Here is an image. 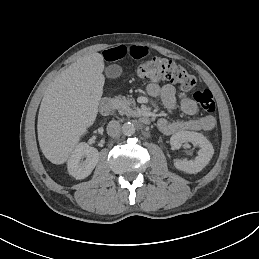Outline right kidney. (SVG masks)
<instances>
[{
  "label": "right kidney",
  "mask_w": 259,
  "mask_h": 259,
  "mask_svg": "<svg viewBox=\"0 0 259 259\" xmlns=\"http://www.w3.org/2000/svg\"><path fill=\"white\" fill-rule=\"evenodd\" d=\"M85 159L84 161H82ZM99 159V152L96 148L81 143L68 162V170L76 179L87 178L94 170Z\"/></svg>",
  "instance_id": "ca27d5eb"
}]
</instances>
